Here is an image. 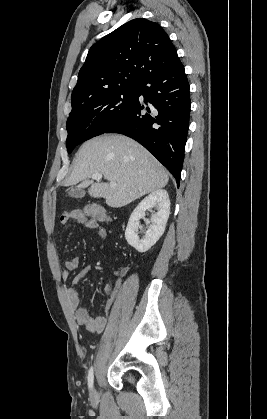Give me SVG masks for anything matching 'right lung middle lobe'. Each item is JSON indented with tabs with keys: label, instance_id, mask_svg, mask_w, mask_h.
I'll return each instance as SVG.
<instances>
[{
	"label": "right lung middle lobe",
	"instance_id": "right-lung-middle-lobe-1",
	"mask_svg": "<svg viewBox=\"0 0 267 419\" xmlns=\"http://www.w3.org/2000/svg\"><path fill=\"white\" fill-rule=\"evenodd\" d=\"M138 97V87H127L97 93L72 104L67 120L68 153L80 143L101 135L119 121Z\"/></svg>",
	"mask_w": 267,
	"mask_h": 419
}]
</instances>
